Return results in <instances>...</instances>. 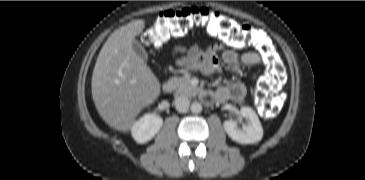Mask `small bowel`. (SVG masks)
<instances>
[{"mask_svg":"<svg viewBox=\"0 0 365 180\" xmlns=\"http://www.w3.org/2000/svg\"><path fill=\"white\" fill-rule=\"evenodd\" d=\"M173 56L179 66L199 71L204 75L220 72L222 70L221 61L234 70H239L243 66L252 67L262 63L260 56L254 52L238 54L230 49L224 50L218 44H211L205 48L178 46L174 48ZM245 95V85L243 83H234L219 88L214 97L219 100L231 99L239 102Z\"/></svg>","mask_w":365,"mask_h":180,"instance_id":"small-bowel-1","label":"small bowel"}]
</instances>
